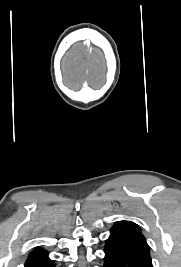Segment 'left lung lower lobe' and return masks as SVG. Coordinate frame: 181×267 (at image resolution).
Returning a JSON list of instances; mask_svg holds the SVG:
<instances>
[{
    "label": "left lung lower lobe",
    "instance_id": "1",
    "mask_svg": "<svg viewBox=\"0 0 181 267\" xmlns=\"http://www.w3.org/2000/svg\"><path fill=\"white\" fill-rule=\"evenodd\" d=\"M104 267H153L149 246L132 223L119 221L106 240Z\"/></svg>",
    "mask_w": 181,
    "mask_h": 267
}]
</instances>
